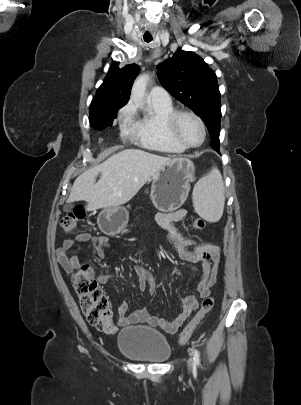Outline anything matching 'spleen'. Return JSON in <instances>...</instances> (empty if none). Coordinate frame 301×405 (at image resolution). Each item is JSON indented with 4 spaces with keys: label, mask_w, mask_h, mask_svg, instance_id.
Wrapping results in <instances>:
<instances>
[{
    "label": "spleen",
    "mask_w": 301,
    "mask_h": 405,
    "mask_svg": "<svg viewBox=\"0 0 301 405\" xmlns=\"http://www.w3.org/2000/svg\"><path fill=\"white\" fill-rule=\"evenodd\" d=\"M193 199L201 217L210 222H216L221 218L225 197L222 176L217 169L197 182L193 190Z\"/></svg>",
    "instance_id": "1"
}]
</instances>
